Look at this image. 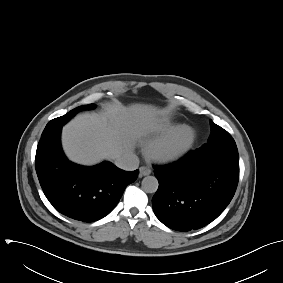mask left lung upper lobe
Returning <instances> with one entry per match:
<instances>
[{"label": "left lung upper lobe", "instance_id": "left-lung-upper-lobe-1", "mask_svg": "<svg viewBox=\"0 0 283 283\" xmlns=\"http://www.w3.org/2000/svg\"><path fill=\"white\" fill-rule=\"evenodd\" d=\"M211 134L207 143L203 144L196 152L201 155H214L239 160L238 150L230 134L210 120Z\"/></svg>", "mask_w": 283, "mask_h": 283}]
</instances>
